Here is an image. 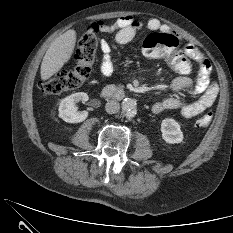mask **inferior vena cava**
I'll return each mask as SVG.
<instances>
[{
    "label": "inferior vena cava",
    "mask_w": 233,
    "mask_h": 233,
    "mask_svg": "<svg viewBox=\"0 0 233 233\" xmlns=\"http://www.w3.org/2000/svg\"><path fill=\"white\" fill-rule=\"evenodd\" d=\"M119 109H120V105L115 100H110L105 105V110L109 114H114V113L118 112Z\"/></svg>",
    "instance_id": "inferior-vena-cava-1"
}]
</instances>
